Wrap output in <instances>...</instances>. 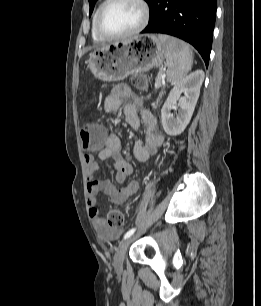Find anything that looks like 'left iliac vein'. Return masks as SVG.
Returning a JSON list of instances; mask_svg holds the SVG:
<instances>
[{
  "mask_svg": "<svg viewBox=\"0 0 261 306\" xmlns=\"http://www.w3.org/2000/svg\"><path fill=\"white\" fill-rule=\"evenodd\" d=\"M133 236H130L126 238L124 241L120 243V245L117 247L114 259H113V265L116 270H119L123 267V261L125 257L126 250L128 246L133 241Z\"/></svg>",
  "mask_w": 261,
  "mask_h": 306,
  "instance_id": "1",
  "label": "left iliac vein"
}]
</instances>
